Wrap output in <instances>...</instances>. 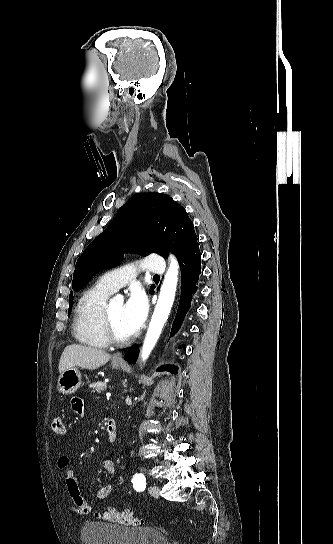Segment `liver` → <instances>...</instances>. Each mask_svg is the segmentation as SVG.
<instances>
[{"label":"liver","mask_w":333,"mask_h":544,"mask_svg":"<svg viewBox=\"0 0 333 544\" xmlns=\"http://www.w3.org/2000/svg\"><path fill=\"white\" fill-rule=\"evenodd\" d=\"M110 358L111 355L103 350L79 344L68 345L59 361V373L76 366L94 370L105 365Z\"/></svg>","instance_id":"6515ba94"}]
</instances>
